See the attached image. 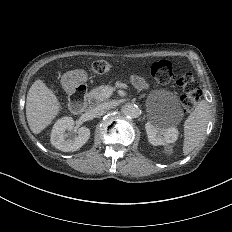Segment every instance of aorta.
<instances>
[{
	"label": "aorta",
	"mask_w": 232,
	"mask_h": 232,
	"mask_svg": "<svg viewBox=\"0 0 232 232\" xmlns=\"http://www.w3.org/2000/svg\"><path fill=\"white\" fill-rule=\"evenodd\" d=\"M121 111L127 118H137L140 115L139 107L132 103L123 105Z\"/></svg>",
	"instance_id": "obj_1"
}]
</instances>
